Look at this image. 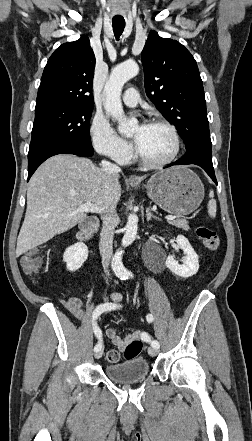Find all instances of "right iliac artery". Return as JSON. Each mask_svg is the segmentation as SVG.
<instances>
[{
	"mask_svg": "<svg viewBox=\"0 0 252 441\" xmlns=\"http://www.w3.org/2000/svg\"><path fill=\"white\" fill-rule=\"evenodd\" d=\"M118 306L113 303L100 304L96 307L92 316V326L95 333V336L98 338V343L94 347V351H98L102 349V331L97 325V318L105 311H111L116 309Z\"/></svg>",
	"mask_w": 252,
	"mask_h": 441,
	"instance_id": "obj_1",
	"label": "right iliac artery"
}]
</instances>
